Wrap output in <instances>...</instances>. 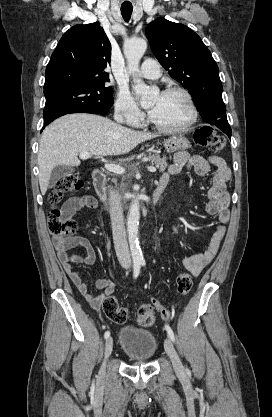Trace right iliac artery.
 Wrapping results in <instances>:
<instances>
[{
  "label": "right iliac artery",
  "mask_w": 272,
  "mask_h": 417,
  "mask_svg": "<svg viewBox=\"0 0 272 417\" xmlns=\"http://www.w3.org/2000/svg\"><path fill=\"white\" fill-rule=\"evenodd\" d=\"M140 273V263H134L133 266V278L136 279ZM110 336V332L106 331L104 334V338L107 339Z\"/></svg>",
  "instance_id": "obj_1"
}]
</instances>
